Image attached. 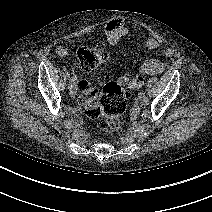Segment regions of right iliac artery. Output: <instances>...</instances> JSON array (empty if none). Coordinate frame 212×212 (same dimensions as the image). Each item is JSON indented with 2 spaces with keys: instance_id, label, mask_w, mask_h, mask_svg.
Wrapping results in <instances>:
<instances>
[{
  "instance_id": "82829eb1",
  "label": "right iliac artery",
  "mask_w": 212,
  "mask_h": 212,
  "mask_svg": "<svg viewBox=\"0 0 212 212\" xmlns=\"http://www.w3.org/2000/svg\"><path fill=\"white\" fill-rule=\"evenodd\" d=\"M73 82H74L73 79L69 80V87L68 88L72 87Z\"/></svg>"
}]
</instances>
